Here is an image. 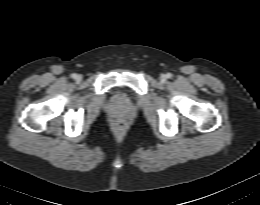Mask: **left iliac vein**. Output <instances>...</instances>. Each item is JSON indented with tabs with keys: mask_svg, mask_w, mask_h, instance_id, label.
Masks as SVG:
<instances>
[{
	"mask_svg": "<svg viewBox=\"0 0 260 205\" xmlns=\"http://www.w3.org/2000/svg\"><path fill=\"white\" fill-rule=\"evenodd\" d=\"M160 79H161L162 82H164L166 80V76L165 75H161Z\"/></svg>",
	"mask_w": 260,
	"mask_h": 205,
	"instance_id": "4c4485c4",
	"label": "left iliac vein"
}]
</instances>
